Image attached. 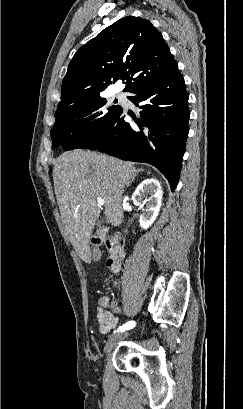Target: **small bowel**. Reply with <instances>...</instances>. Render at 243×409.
<instances>
[{
	"instance_id": "1",
	"label": "small bowel",
	"mask_w": 243,
	"mask_h": 409,
	"mask_svg": "<svg viewBox=\"0 0 243 409\" xmlns=\"http://www.w3.org/2000/svg\"><path fill=\"white\" fill-rule=\"evenodd\" d=\"M97 313L100 314L98 320V329L102 335H107L115 329L121 314V310L110 301L108 296H103L98 301Z\"/></svg>"
}]
</instances>
